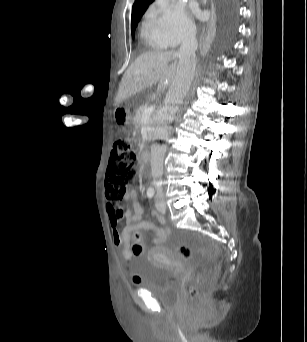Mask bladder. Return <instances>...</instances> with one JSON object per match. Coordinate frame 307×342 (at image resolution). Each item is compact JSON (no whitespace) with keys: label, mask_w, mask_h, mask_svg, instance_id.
Returning <instances> with one entry per match:
<instances>
[{"label":"bladder","mask_w":307,"mask_h":342,"mask_svg":"<svg viewBox=\"0 0 307 342\" xmlns=\"http://www.w3.org/2000/svg\"><path fill=\"white\" fill-rule=\"evenodd\" d=\"M139 286L159 298H167L178 289L179 278L169 267L151 264L140 277Z\"/></svg>","instance_id":"obj_1"}]
</instances>
